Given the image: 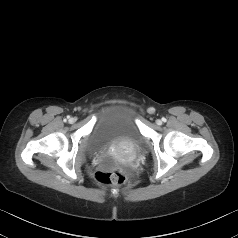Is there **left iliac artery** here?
<instances>
[{
	"label": "left iliac artery",
	"instance_id": "left-iliac-artery-1",
	"mask_svg": "<svg viewBox=\"0 0 238 238\" xmlns=\"http://www.w3.org/2000/svg\"><path fill=\"white\" fill-rule=\"evenodd\" d=\"M162 121H163V122H166V118H162Z\"/></svg>",
	"mask_w": 238,
	"mask_h": 238
}]
</instances>
